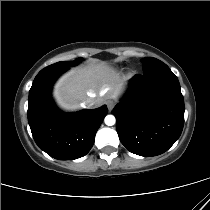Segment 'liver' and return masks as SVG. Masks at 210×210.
I'll list each match as a JSON object with an SVG mask.
<instances>
[{"instance_id":"obj_1","label":"liver","mask_w":210,"mask_h":210,"mask_svg":"<svg viewBox=\"0 0 210 210\" xmlns=\"http://www.w3.org/2000/svg\"><path fill=\"white\" fill-rule=\"evenodd\" d=\"M125 79L104 64H89L62 75L54 85L53 96L64 110H76L92 97L96 106L116 99L124 89Z\"/></svg>"}]
</instances>
